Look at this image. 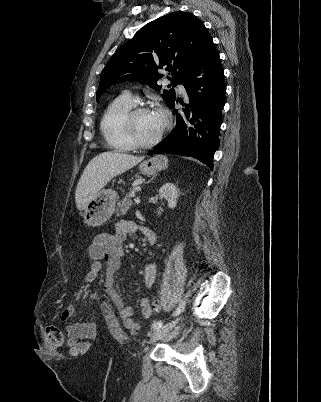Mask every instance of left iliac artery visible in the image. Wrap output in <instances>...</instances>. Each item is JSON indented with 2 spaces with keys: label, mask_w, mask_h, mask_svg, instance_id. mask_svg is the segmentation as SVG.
I'll list each match as a JSON object with an SVG mask.
<instances>
[{
  "label": "left iliac artery",
  "mask_w": 321,
  "mask_h": 402,
  "mask_svg": "<svg viewBox=\"0 0 321 402\" xmlns=\"http://www.w3.org/2000/svg\"><path fill=\"white\" fill-rule=\"evenodd\" d=\"M184 306H185V301H182L180 303V305L178 306V308L173 313V316H176V315L180 314V312L184 309ZM162 324H163V322L161 320L156 322V323H154L153 326H152L153 330L159 329L162 326Z\"/></svg>",
  "instance_id": "1"
}]
</instances>
